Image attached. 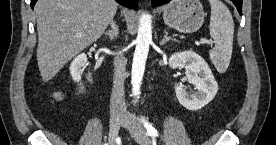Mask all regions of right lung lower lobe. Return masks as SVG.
<instances>
[{
  "mask_svg": "<svg viewBox=\"0 0 276 145\" xmlns=\"http://www.w3.org/2000/svg\"><path fill=\"white\" fill-rule=\"evenodd\" d=\"M37 0H31V7L35 5ZM119 4L128 7L136 9L138 7V0H116Z\"/></svg>",
  "mask_w": 276,
  "mask_h": 145,
  "instance_id": "98d812e1",
  "label": "right lung lower lobe"
}]
</instances>
